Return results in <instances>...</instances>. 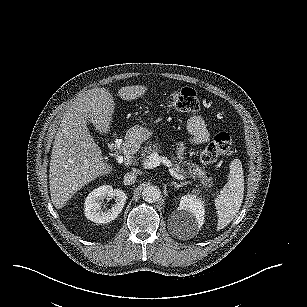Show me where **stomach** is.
<instances>
[{"label":"stomach","instance_id":"0dacf381","mask_svg":"<svg viewBox=\"0 0 307 307\" xmlns=\"http://www.w3.org/2000/svg\"><path fill=\"white\" fill-rule=\"evenodd\" d=\"M153 130L147 127L135 125L127 130L125 135V142L134 145H140L147 141L153 135Z\"/></svg>","mask_w":307,"mask_h":307}]
</instances>
